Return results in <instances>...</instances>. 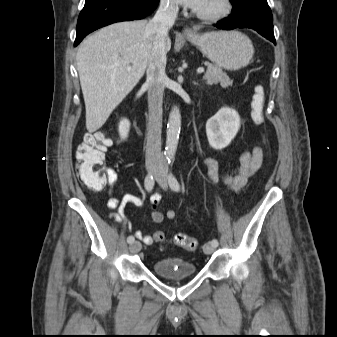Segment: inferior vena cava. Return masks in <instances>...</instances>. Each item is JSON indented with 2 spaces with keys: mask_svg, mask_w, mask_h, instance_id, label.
Segmentation results:
<instances>
[{
  "mask_svg": "<svg viewBox=\"0 0 337 337\" xmlns=\"http://www.w3.org/2000/svg\"><path fill=\"white\" fill-rule=\"evenodd\" d=\"M178 6L161 0L159 9L147 29L155 34L151 56L147 65L149 122L146 144V162L157 163L163 159L161 152L162 104L164 81L166 79V39L173 26Z\"/></svg>",
  "mask_w": 337,
  "mask_h": 337,
  "instance_id": "602c4592",
  "label": "inferior vena cava"
}]
</instances>
